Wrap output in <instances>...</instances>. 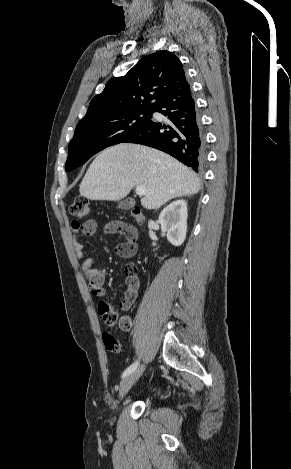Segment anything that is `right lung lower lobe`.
Here are the masks:
<instances>
[{
  "mask_svg": "<svg viewBox=\"0 0 291 469\" xmlns=\"http://www.w3.org/2000/svg\"><path fill=\"white\" fill-rule=\"evenodd\" d=\"M153 112L163 114L167 122L149 120L123 142L159 149L200 171L205 162V141L190 87L170 92Z\"/></svg>",
  "mask_w": 291,
  "mask_h": 469,
  "instance_id": "obj_1",
  "label": "right lung lower lobe"
}]
</instances>
